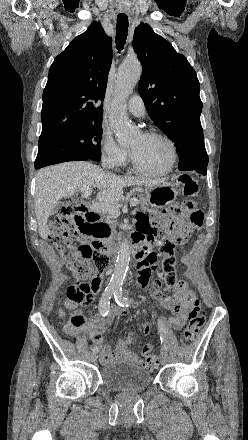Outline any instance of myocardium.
Returning <instances> with one entry per match:
<instances>
[{"mask_svg": "<svg viewBox=\"0 0 248 440\" xmlns=\"http://www.w3.org/2000/svg\"><path fill=\"white\" fill-rule=\"evenodd\" d=\"M143 135L146 136V137H156V138L163 139L169 145V147H170L171 159H170V162H169L167 168H165L164 170H161V171H148V170H145V169L141 168L138 165V163L136 162V160L134 158V154L131 151L130 158H131L132 169L136 173L141 174L143 176H147V177H163V176H166L169 173H171L172 170L174 169V167L176 165V162H177V159H178V150H177L175 142L168 135H166L165 133L160 132V131H156V130L147 131V132L143 133Z\"/></svg>", "mask_w": 248, "mask_h": 440, "instance_id": "f54148a6", "label": "myocardium"}]
</instances>
